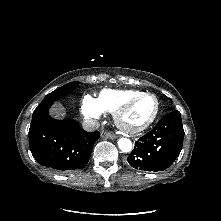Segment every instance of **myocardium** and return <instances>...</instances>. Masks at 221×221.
Listing matches in <instances>:
<instances>
[{
    "label": "myocardium",
    "mask_w": 221,
    "mask_h": 221,
    "mask_svg": "<svg viewBox=\"0 0 221 221\" xmlns=\"http://www.w3.org/2000/svg\"><path fill=\"white\" fill-rule=\"evenodd\" d=\"M144 97H153L155 99L156 102V107H155V111L153 113V115L151 116V118L144 123L141 126L138 127H130L128 125H126L124 123L123 117L124 114L127 112V110L139 99L144 98ZM160 112V102L158 97L153 94V93H149V92H142L138 95H135L129 99H127L126 101H124L115 111H114V122L116 124V126L124 133L126 134H139L145 130H147L157 119L158 115Z\"/></svg>",
    "instance_id": "myocardium-1"
}]
</instances>
